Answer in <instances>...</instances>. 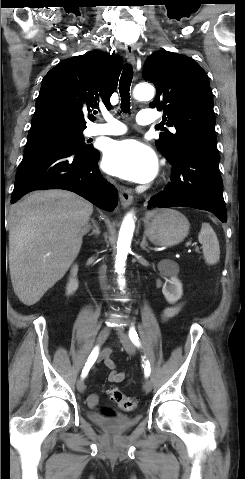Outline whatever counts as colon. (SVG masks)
I'll use <instances>...</instances> for the list:
<instances>
[{
    "mask_svg": "<svg viewBox=\"0 0 245 479\" xmlns=\"http://www.w3.org/2000/svg\"><path fill=\"white\" fill-rule=\"evenodd\" d=\"M110 399L122 410L131 411L136 407V401L126 396L119 388L110 387L108 389ZM106 414L111 415V412L106 411Z\"/></svg>",
    "mask_w": 245,
    "mask_h": 479,
    "instance_id": "5ec220e1",
    "label": "colon"
}]
</instances>
